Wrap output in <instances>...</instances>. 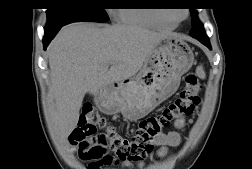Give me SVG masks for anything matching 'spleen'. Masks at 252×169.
Masks as SVG:
<instances>
[{
	"label": "spleen",
	"instance_id": "1",
	"mask_svg": "<svg viewBox=\"0 0 252 169\" xmlns=\"http://www.w3.org/2000/svg\"><path fill=\"white\" fill-rule=\"evenodd\" d=\"M196 73H197V75H198L200 78H202V79L205 78V73H204V70H203V67H202V66H198V67H197Z\"/></svg>",
	"mask_w": 252,
	"mask_h": 169
}]
</instances>
